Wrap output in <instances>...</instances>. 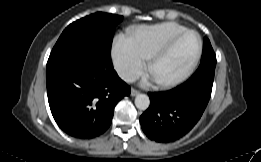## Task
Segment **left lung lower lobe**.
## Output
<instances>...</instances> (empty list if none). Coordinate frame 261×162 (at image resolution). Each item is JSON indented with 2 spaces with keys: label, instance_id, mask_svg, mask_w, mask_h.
Segmentation results:
<instances>
[{
  "label": "left lung lower lobe",
  "instance_id": "obj_1",
  "mask_svg": "<svg viewBox=\"0 0 261 162\" xmlns=\"http://www.w3.org/2000/svg\"><path fill=\"white\" fill-rule=\"evenodd\" d=\"M215 66H204L183 84L148 93L149 108L141 115L144 133L156 142H172L186 135L200 120L211 96Z\"/></svg>",
  "mask_w": 261,
  "mask_h": 162
}]
</instances>
